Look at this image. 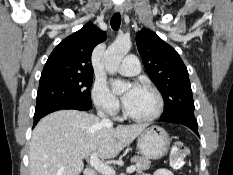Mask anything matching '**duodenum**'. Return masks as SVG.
Wrapping results in <instances>:
<instances>
[{
	"label": "duodenum",
	"instance_id": "duodenum-1",
	"mask_svg": "<svg viewBox=\"0 0 233 175\" xmlns=\"http://www.w3.org/2000/svg\"><path fill=\"white\" fill-rule=\"evenodd\" d=\"M84 175H96V172L93 168H87L85 171H84Z\"/></svg>",
	"mask_w": 233,
	"mask_h": 175
}]
</instances>
